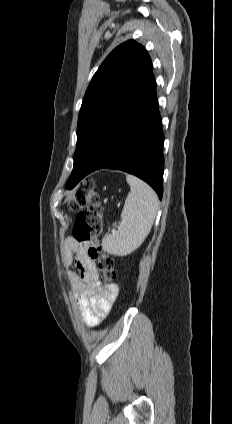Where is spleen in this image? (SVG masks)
Returning <instances> with one entry per match:
<instances>
[{
	"instance_id": "3e777b00",
	"label": "spleen",
	"mask_w": 232,
	"mask_h": 424,
	"mask_svg": "<svg viewBox=\"0 0 232 424\" xmlns=\"http://www.w3.org/2000/svg\"><path fill=\"white\" fill-rule=\"evenodd\" d=\"M130 186L121 213L118 229L102 239L105 251L116 256L134 252L144 242L154 223L158 210L155 191L134 175H126Z\"/></svg>"
}]
</instances>
